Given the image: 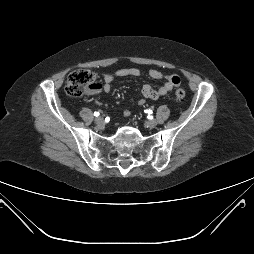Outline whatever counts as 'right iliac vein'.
<instances>
[{
  "mask_svg": "<svg viewBox=\"0 0 254 254\" xmlns=\"http://www.w3.org/2000/svg\"><path fill=\"white\" fill-rule=\"evenodd\" d=\"M95 123L98 124V125H102L104 124V118L99 116L95 119Z\"/></svg>",
  "mask_w": 254,
  "mask_h": 254,
  "instance_id": "right-iliac-vein-1",
  "label": "right iliac vein"
}]
</instances>
